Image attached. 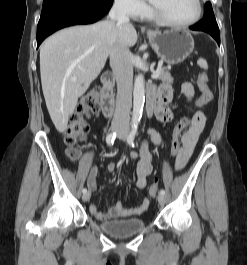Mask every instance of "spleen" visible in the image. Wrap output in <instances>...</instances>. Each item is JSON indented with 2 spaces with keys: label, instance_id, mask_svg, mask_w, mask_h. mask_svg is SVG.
<instances>
[{
  "label": "spleen",
  "instance_id": "1",
  "mask_svg": "<svg viewBox=\"0 0 247 265\" xmlns=\"http://www.w3.org/2000/svg\"><path fill=\"white\" fill-rule=\"evenodd\" d=\"M197 63L201 68L208 69V64L205 59L200 58Z\"/></svg>",
  "mask_w": 247,
  "mask_h": 265
}]
</instances>
